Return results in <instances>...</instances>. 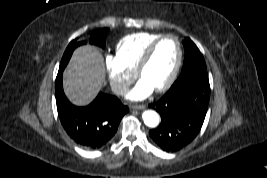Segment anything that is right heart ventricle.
<instances>
[{
	"label": "right heart ventricle",
	"mask_w": 267,
	"mask_h": 178,
	"mask_svg": "<svg viewBox=\"0 0 267 178\" xmlns=\"http://www.w3.org/2000/svg\"><path fill=\"white\" fill-rule=\"evenodd\" d=\"M162 35L157 32H139L123 37L116 45L117 59L126 69L135 73L147 47Z\"/></svg>",
	"instance_id": "obj_1"
}]
</instances>
